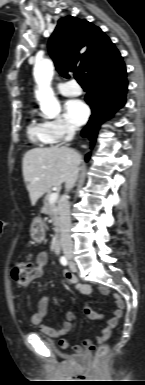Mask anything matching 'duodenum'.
Wrapping results in <instances>:
<instances>
[{
    "instance_id": "410a0bca",
    "label": "duodenum",
    "mask_w": 145,
    "mask_h": 385,
    "mask_svg": "<svg viewBox=\"0 0 145 385\" xmlns=\"http://www.w3.org/2000/svg\"><path fill=\"white\" fill-rule=\"evenodd\" d=\"M53 251L55 254H59L61 252V240L60 238H56L54 245H53Z\"/></svg>"
}]
</instances>
